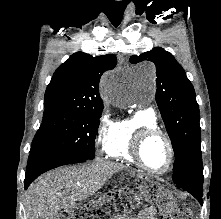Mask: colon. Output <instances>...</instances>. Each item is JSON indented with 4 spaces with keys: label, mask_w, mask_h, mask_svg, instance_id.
Listing matches in <instances>:
<instances>
[{
    "label": "colon",
    "mask_w": 221,
    "mask_h": 219,
    "mask_svg": "<svg viewBox=\"0 0 221 219\" xmlns=\"http://www.w3.org/2000/svg\"><path fill=\"white\" fill-rule=\"evenodd\" d=\"M122 192H108L96 203L78 206L70 211L60 214L56 219H109L114 208L124 200ZM164 210L167 203L159 204ZM162 219H193L189 209H179L176 212L166 211Z\"/></svg>",
    "instance_id": "obj_1"
}]
</instances>
